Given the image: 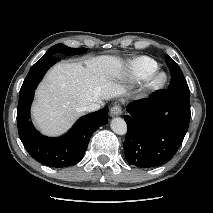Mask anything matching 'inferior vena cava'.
<instances>
[{
	"label": "inferior vena cava",
	"mask_w": 213,
	"mask_h": 213,
	"mask_svg": "<svg viewBox=\"0 0 213 213\" xmlns=\"http://www.w3.org/2000/svg\"><path fill=\"white\" fill-rule=\"evenodd\" d=\"M101 107V103L91 102L82 107V110L87 112H93L99 110Z\"/></svg>",
	"instance_id": "obj_1"
}]
</instances>
